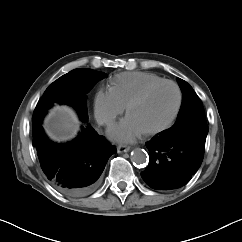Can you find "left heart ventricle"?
Segmentation results:
<instances>
[{"mask_svg": "<svg viewBox=\"0 0 242 242\" xmlns=\"http://www.w3.org/2000/svg\"><path fill=\"white\" fill-rule=\"evenodd\" d=\"M177 102V92L172 85L164 84L154 89L149 96L130 112L134 122L144 132L158 128L171 117Z\"/></svg>", "mask_w": 242, "mask_h": 242, "instance_id": "obj_1", "label": "left heart ventricle"}]
</instances>
